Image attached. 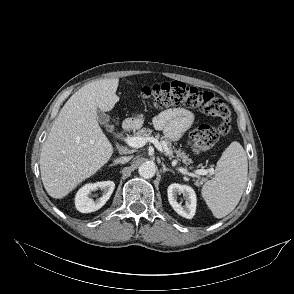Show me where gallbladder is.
<instances>
[{"instance_id": "bac80fb5", "label": "gallbladder", "mask_w": 294, "mask_h": 294, "mask_svg": "<svg viewBox=\"0 0 294 294\" xmlns=\"http://www.w3.org/2000/svg\"><path fill=\"white\" fill-rule=\"evenodd\" d=\"M97 120L101 123V124H106L109 122L110 117L105 114L104 112L98 110L97 112Z\"/></svg>"}]
</instances>
